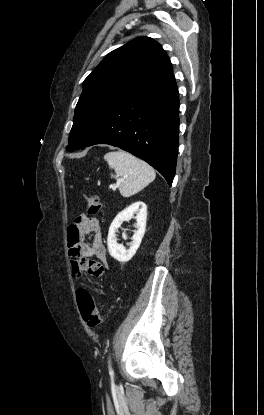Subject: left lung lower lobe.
<instances>
[{
	"label": "left lung lower lobe",
	"instance_id": "obj_1",
	"mask_svg": "<svg viewBox=\"0 0 264 415\" xmlns=\"http://www.w3.org/2000/svg\"><path fill=\"white\" fill-rule=\"evenodd\" d=\"M179 93L173 72L123 99L96 125L80 148L119 147L158 170L171 186L178 153Z\"/></svg>",
	"mask_w": 264,
	"mask_h": 415
}]
</instances>
